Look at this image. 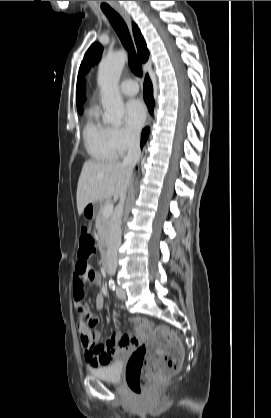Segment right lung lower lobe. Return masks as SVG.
<instances>
[{"label":"right lung lower lobe","mask_w":271,"mask_h":418,"mask_svg":"<svg viewBox=\"0 0 271 418\" xmlns=\"http://www.w3.org/2000/svg\"><path fill=\"white\" fill-rule=\"evenodd\" d=\"M144 99L149 107V111L152 113L153 107H154L153 88H152V83L148 75L146 76L145 83H144ZM148 134H149V128L146 127L142 132L141 147L145 144Z\"/></svg>","instance_id":"right-lung-lower-lobe-1"}]
</instances>
